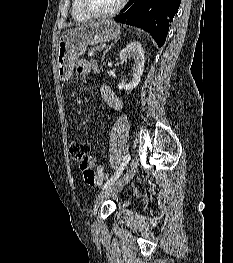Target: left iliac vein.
<instances>
[{"mask_svg":"<svg viewBox=\"0 0 233 263\" xmlns=\"http://www.w3.org/2000/svg\"><path fill=\"white\" fill-rule=\"evenodd\" d=\"M138 166V160L136 158H133L125 174L98 195L94 205L95 211L99 209L103 202H105L112 195L118 193L133 178V176L137 172Z\"/></svg>","mask_w":233,"mask_h":263,"instance_id":"4c4485c4","label":"left iliac vein"}]
</instances>
